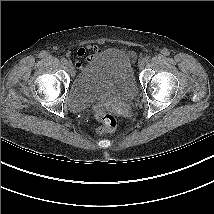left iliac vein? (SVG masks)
Segmentation results:
<instances>
[{"instance_id": "obj_1", "label": "left iliac vein", "mask_w": 214, "mask_h": 214, "mask_svg": "<svg viewBox=\"0 0 214 214\" xmlns=\"http://www.w3.org/2000/svg\"><path fill=\"white\" fill-rule=\"evenodd\" d=\"M144 65H145L144 59H142V60H140V61L138 62V67H139L140 69H142V68L144 67Z\"/></svg>"}]
</instances>
